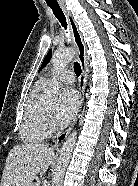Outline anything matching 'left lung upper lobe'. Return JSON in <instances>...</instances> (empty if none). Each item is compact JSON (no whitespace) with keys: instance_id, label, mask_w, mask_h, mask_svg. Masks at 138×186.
I'll return each instance as SVG.
<instances>
[{"instance_id":"obj_1","label":"left lung upper lobe","mask_w":138,"mask_h":186,"mask_svg":"<svg viewBox=\"0 0 138 186\" xmlns=\"http://www.w3.org/2000/svg\"><path fill=\"white\" fill-rule=\"evenodd\" d=\"M51 55H52V51H49L48 54L46 55V57L44 58V60H43V62H42V65H41L39 71H41L42 68H44V67L47 65V63L49 62V60H50V58H51Z\"/></svg>"}]
</instances>
